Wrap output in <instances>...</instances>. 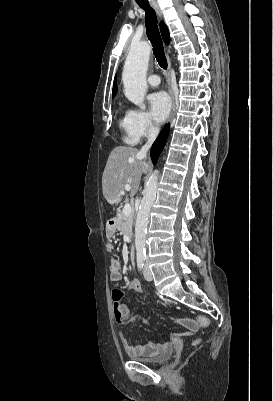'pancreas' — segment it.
Instances as JSON below:
<instances>
[{
  "label": "pancreas",
  "instance_id": "cf45deb5",
  "mask_svg": "<svg viewBox=\"0 0 273 401\" xmlns=\"http://www.w3.org/2000/svg\"><path fill=\"white\" fill-rule=\"evenodd\" d=\"M133 219H134V213H131V215H124V213H118L115 225L117 231H121L123 235L131 237Z\"/></svg>",
  "mask_w": 273,
  "mask_h": 401
}]
</instances>
